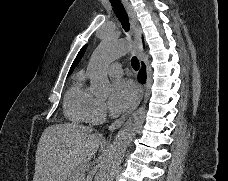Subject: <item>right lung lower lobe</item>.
<instances>
[{"mask_svg":"<svg viewBox=\"0 0 228 181\" xmlns=\"http://www.w3.org/2000/svg\"><path fill=\"white\" fill-rule=\"evenodd\" d=\"M138 80L141 83H145L146 74H145V67H144V65H143V68L140 70V72L138 74Z\"/></svg>","mask_w":228,"mask_h":181,"instance_id":"obj_1","label":"right lung lower lobe"}]
</instances>
